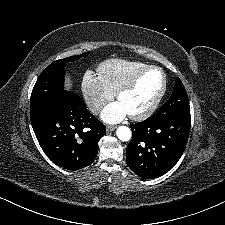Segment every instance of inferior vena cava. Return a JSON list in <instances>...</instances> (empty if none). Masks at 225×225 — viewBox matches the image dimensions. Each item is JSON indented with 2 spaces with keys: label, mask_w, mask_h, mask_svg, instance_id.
Segmentation results:
<instances>
[{
  "label": "inferior vena cava",
  "mask_w": 225,
  "mask_h": 225,
  "mask_svg": "<svg viewBox=\"0 0 225 225\" xmlns=\"http://www.w3.org/2000/svg\"><path fill=\"white\" fill-rule=\"evenodd\" d=\"M103 106H104V103H102V102H99V101L98 102H92V103L88 104V109L92 113L96 114L103 108Z\"/></svg>",
  "instance_id": "602c4592"
}]
</instances>
